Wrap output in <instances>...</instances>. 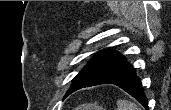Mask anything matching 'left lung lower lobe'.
Segmentation results:
<instances>
[{"mask_svg": "<svg viewBox=\"0 0 171 110\" xmlns=\"http://www.w3.org/2000/svg\"><path fill=\"white\" fill-rule=\"evenodd\" d=\"M100 84H114L119 86L128 94L137 99L146 109H148V101L145 94L143 93L141 87L142 84L139 81V78L136 76L135 69L131 67V65H129L127 61L117 67L106 71L90 82H86L79 86H76L75 88L70 90L66 96L78 89Z\"/></svg>", "mask_w": 171, "mask_h": 110, "instance_id": "left-lung-lower-lobe-1", "label": "left lung lower lobe"}]
</instances>
